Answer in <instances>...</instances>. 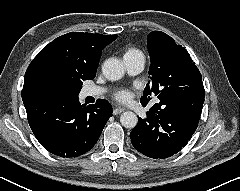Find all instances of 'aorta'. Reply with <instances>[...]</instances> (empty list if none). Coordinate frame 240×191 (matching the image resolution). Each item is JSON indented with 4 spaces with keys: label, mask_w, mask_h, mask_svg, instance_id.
Wrapping results in <instances>:
<instances>
[{
    "label": "aorta",
    "mask_w": 240,
    "mask_h": 191,
    "mask_svg": "<svg viewBox=\"0 0 240 191\" xmlns=\"http://www.w3.org/2000/svg\"><path fill=\"white\" fill-rule=\"evenodd\" d=\"M102 72L108 80L116 81L124 76L125 68L120 60L116 58H109L103 63ZM120 122L125 128L132 129L137 125L138 118L135 113L126 111L121 114Z\"/></svg>",
    "instance_id": "1"
}]
</instances>
